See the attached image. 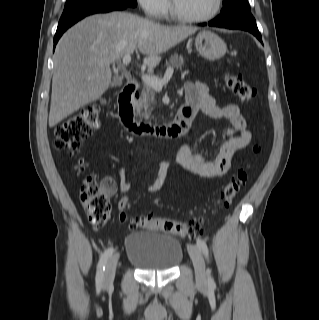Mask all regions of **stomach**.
<instances>
[{
    "label": "stomach",
    "instance_id": "1",
    "mask_svg": "<svg viewBox=\"0 0 319 320\" xmlns=\"http://www.w3.org/2000/svg\"><path fill=\"white\" fill-rule=\"evenodd\" d=\"M195 47L205 59L215 61L224 56L227 51L226 43L214 32L203 30L196 36Z\"/></svg>",
    "mask_w": 319,
    "mask_h": 320
}]
</instances>
